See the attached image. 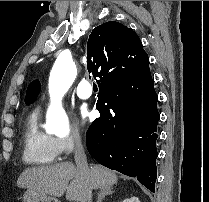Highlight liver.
I'll return each instance as SVG.
<instances>
[{
    "label": "liver",
    "mask_w": 209,
    "mask_h": 202,
    "mask_svg": "<svg viewBox=\"0 0 209 202\" xmlns=\"http://www.w3.org/2000/svg\"><path fill=\"white\" fill-rule=\"evenodd\" d=\"M89 170L93 189L112 188L118 182L116 173L105 167L93 165ZM84 185V178L71 162L29 168L17 180L18 187L34 189L49 196L61 197L66 192L69 201L84 202Z\"/></svg>",
    "instance_id": "liver-1"
}]
</instances>
